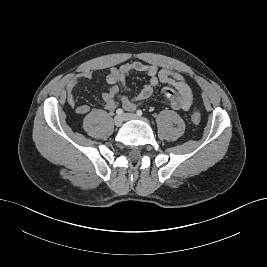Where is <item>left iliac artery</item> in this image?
Returning a JSON list of instances; mask_svg holds the SVG:
<instances>
[{
	"label": "left iliac artery",
	"mask_w": 267,
	"mask_h": 267,
	"mask_svg": "<svg viewBox=\"0 0 267 267\" xmlns=\"http://www.w3.org/2000/svg\"><path fill=\"white\" fill-rule=\"evenodd\" d=\"M136 114H137L138 116H142L143 113H142L141 110H137Z\"/></svg>",
	"instance_id": "obj_1"
}]
</instances>
